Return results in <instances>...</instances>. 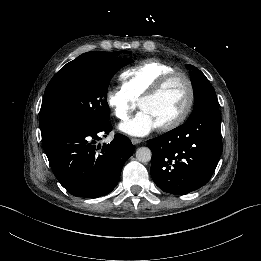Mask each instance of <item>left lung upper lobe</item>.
I'll return each mask as SVG.
<instances>
[{
    "mask_svg": "<svg viewBox=\"0 0 261 261\" xmlns=\"http://www.w3.org/2000/svg\"><path fill=\"white\" fill-rule=\"evenodd\" d=\"M186 68L190 71L195 97L194 109L189 118L206 110L219 111L215 91L205 75L193 65L188 64Z\"/></svg>",
    "mask_w": 261,
    "mask_h": 261,
    "instance_id": "left-lung-upper-lobe-1",
    "label": "left lung upper lobe"
}]
</instances>
